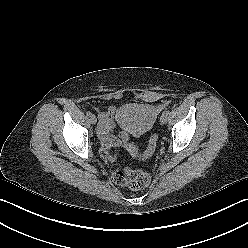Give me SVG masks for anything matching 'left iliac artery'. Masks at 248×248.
Instances as JSON below:
<instances>
[{"instance_id": "left-iliac-artery-1", "label": "left iliac artery", "mask_w": 248, "mask_h": 248, "mask_svg": "<svg viewBox=\"0 0 248 248\" xmlns=\"http://www.w3.org/2000/svg\"><path fill=\"white\" fill-rule=\"evenodd\" d=\"M165 113L169 114V111H165Z\"/></svg>"}]
</instances>
